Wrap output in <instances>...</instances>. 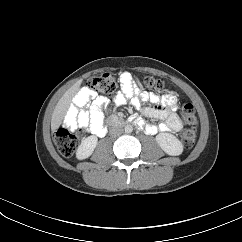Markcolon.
<instances>
[{
	"label": "colon",
	"instance_id": "colon-1",
	"mask_svg": "<svg viewBox=\"0 0 242 242\" xmlns=\"http://www.w3.org/2000/svg\"><path fill=\"white\" fill-rule=\"evenodd\" d=\"M145 85L148 89L158 92H165L168 89L164 80L153 77L146 78ZM88 87L96 94L113 96L117 90V79L114 74L106 72L91 80ZM181 120L184 126L181 132V140L184 147L190 148L196 140L198 127L193 105L187 103L183 106ZM55 142L60 154L64 157H70L77 148L78 138L69 129L61 127L56 132Z\"/></svg>",
	"mask_w": 242,
	"mask_h": 242
}]
</instances>
